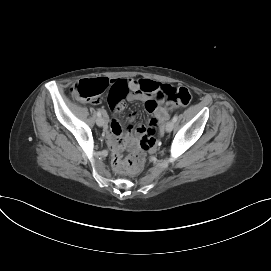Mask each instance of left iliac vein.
I'll use <instances>...</instances> for the list:
<instances>
[{
    "instance_id": "obj_1",
    "label": "left iliac vein",
    "mask_w": 271,
    "mask_h": 271,
    "mask_svg": "<svg viewBox=\"0 0 271 271\" xmlns=\"http://www.w3.org/2000/svg\"><path fill=\"white\" fill-rule=\"evenodd\" d=\"M173 128H174V122L173 121H169V122L166 123L165 130L167 132H171L173 130Z\"/></svg>"
}]
</instances>
